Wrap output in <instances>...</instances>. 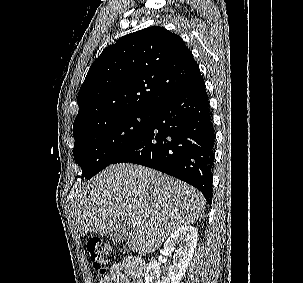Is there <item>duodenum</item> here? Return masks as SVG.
Wrapping results in <instances>:
<instances>
[{
  "label": "duodenum",
  "instance_id": "duodenum-1",
  "mask_svg": "<svg viewBox=\"0 0 303 283\" xmlns=\"http://www.w3.org/2000/svg\"><path fill=\"white\" fill-rule=\"evenodd\" d=\"M137 266L140 268V269H143L145 270V264L142 260H137Z\"/></svg>",
  "mask_w": 303,
  "mask_h": 283
}]
</instances>
